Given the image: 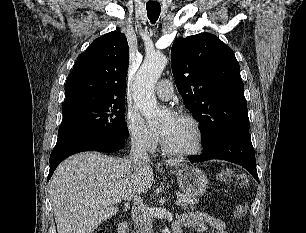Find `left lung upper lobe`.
I'll return each mask as SVG.
<instances>
[{"label":"left lung upper lobe","instance_id":"1","mask_svg":"<svg viewBox=\"0 0 306 233\" xmlns=\"http://www.w3.org/2000/svg\"><path fill=\"white\" fill-rule=\"evenodd\" d=\"M171 58L178 90L201 125L203 145L224 134L249 132L240 67L230 47L200 33L177 38Z\"/></svg>","mask_w":306,"mask_h":233}]
</instances>
